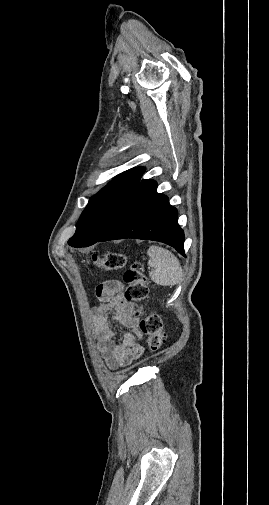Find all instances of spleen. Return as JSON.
Instances as JSON below:
<instances>
[{"label": "spleen", "instance_id": "3e777b00", "mask_svg": "<svg viewBox=\"0 0 269 505\" xmlns=\"http://www.w3.org/2000/svg\"><path fill=\"white\" fill-rule=\"evenodd\" d=\"M147 254L148 266L152 268L149 276L153 282L162 286H173L183 277V270L178 258L169 250L152 245Z\"/></svg>", "mask_w": 269, "mask_h": 505}]
</instances>
